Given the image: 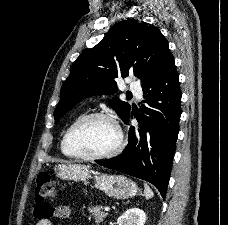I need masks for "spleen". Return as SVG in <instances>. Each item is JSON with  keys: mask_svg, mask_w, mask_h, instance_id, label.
<instances>
[{"mask_svg": "<svg viewBox=\"0 0 228 225\" xmlns=\"http://www.w3.org/2000/svg\"><path fill=\"white\" fill-rule=\"evenodd\" d=\"M144 195L145 199H152L154 197V193L147 183H144Z\"/></svg>", "mask_w": 228, "mask_h": 225, "instance_id": "1", "label": "spleen"}]
</instances>
